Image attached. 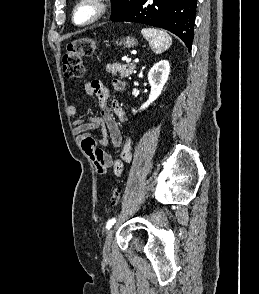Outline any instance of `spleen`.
Segmentation results:
<instances>
[{
	"instance_id": "3e777b00",
	"label": "spleen",
	"mask_w": 259,
	"mask_h": 294,
	"mask_svg": "<svg viewBox=\"0 0 259 294\" xmlns=\"http://www.w3.org/2000/svg\"><path fill=\"white\" fill-rule=\"evenodd\" d=\"M141 33L156 54L164 52L172 44V38L166 31L155 28H143Z\"/></svg>"
}]
</instances>
